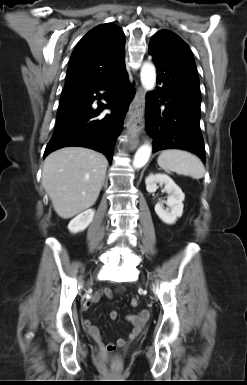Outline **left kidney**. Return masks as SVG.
I'll return each instance as SVG.
<instances>
[{
	"instance_id": "obj_1",
	"label": "left kidney",
	"mask_w": 247,
	"mask_h": 385,
	"mask_svg": "<svg viewBox=\"0 0 247 385\" xmlns=\"http://www.w3.org/2000/svg\"><path fill=\"white\" fill-rule=\"evenodd\" d=\"M145 184L149 193L156 192L157 184H164V189L169 194L166 202L169 208L164 209L163 204L159 202L155 205V212L164 223L174 224L183 214L185 195L180 187L166 174H150L145 179Z\"/></svg>"
}]
</instances>
